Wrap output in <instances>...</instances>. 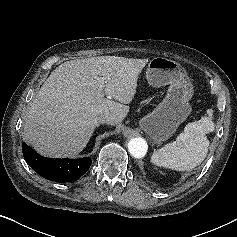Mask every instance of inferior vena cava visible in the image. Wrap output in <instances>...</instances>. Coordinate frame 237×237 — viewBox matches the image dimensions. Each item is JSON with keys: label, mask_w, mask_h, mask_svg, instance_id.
Instances as JSON below:
<instances>
[{"label": "inferior vena cava", "mask_w": 237, "mask_h": 237, "mask_svg": "<svg viewBox=\"0 0 237 237\" xmlns=\"http://www.w3.org/2000/svg\"><path fill=\"white\" fill-rule=\"evenodd\" d=\"M112 121H113L112 118H110L108 116H104V115L97 116L94 119V122H95L96 125H99V124H111Z\"/></svg>", "instance_id": "inferior-vena-cava-1"}]
</instances>
